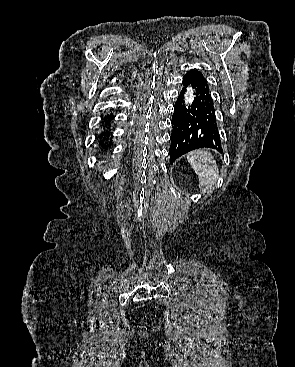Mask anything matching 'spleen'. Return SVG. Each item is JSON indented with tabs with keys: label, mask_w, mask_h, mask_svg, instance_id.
<instances>
[{
	"label": "spleen",
	"mask_w": 295,
	"mask_h": 367,
	"mask_svg": "<svg viewBox=\"0 0 295 367\" xmlns=\"http://www.w3.org/2000/svg\"><path fill=\"white\" fill-rule=\"evenodd\" d=\"M187 160L198 175L201 191L210 192L219 176L218 166L212 154L205 150H194L187 154Z\"/></svg>",
	"instance_id": "obj_1"
}]
</instances>
